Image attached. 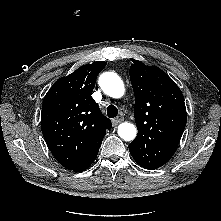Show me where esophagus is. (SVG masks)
<instances>
[{"instance_id":"34e87169","label":"esophagus","mask_w":221,"mask_h":221,"mask_svg":"<svg viewBox=\"0 0 221 221\" xmlns=\"http://www.w3.org/2000/svg\"><path fill=\"white\" fill-rule=\"evenodd\" d=\"M124 120L123 116H118L115 119L112 120L113 126H117L119 123H121Z\"/></svg>"}]
</instances>
